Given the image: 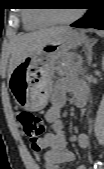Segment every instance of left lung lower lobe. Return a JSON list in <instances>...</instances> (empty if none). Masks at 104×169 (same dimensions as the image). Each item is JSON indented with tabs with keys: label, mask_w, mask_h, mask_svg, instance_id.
<instances>
[{
	"label": "left lung lower lobe",
	"mask_w": 104,
	"mask_h": 169,
	"mask_svg": "<svg viewBox=\"0 0 104 169\" xmlns=\"http://www.w3.org/2000/svg\"><path fill=\"white\" fill-rule=\"evenodd\" d=\"M71 26L77 28H96L104 30V10L98 7L91 8L85 17L74 22Z\"/></svg>",
	"instance_id": "1"
}]
</instances>
